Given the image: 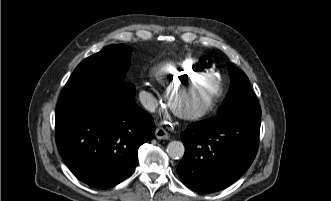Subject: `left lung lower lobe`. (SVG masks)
Returning a JSON list of instances; mask_svg holds the SVG:
<instances>
[{
    "label": "left lung lower lobe",
    "mask_w": 331,
    "mask_h": 201,
    "mask_svg": "<svg viewBox=\"0 0 331 201\" xmlns=\"http://www.w3.org/2000/svg\"><path fill=\"white\" fill-rule=\"evenodd\" d=\"M261 108L241 107L193 123L181 133L186 152L177 172L194 191H220L252 164L259 144Z\"/></svg>",
    "instance_id": "obj_1"
}]
</instances>
